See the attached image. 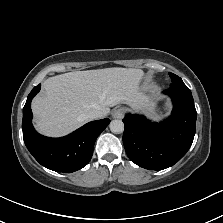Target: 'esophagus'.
<instances>
[{
	"instance_id": "obj_1",
	"label": "esophagus",
	"mask_w": 223,
	"mask_h": 223,
	"mask_svg": "<svg viewBox=\"0 0 223 223\" xmlns=\"http://www.w3.org/2000/svg\"><path fill=\"white\" fill-rule=\"evenodd\" d=\"M113 118L121 119L125 115V109L124 108H116L111 113Z\"/></svg>"
}]
</instances>
